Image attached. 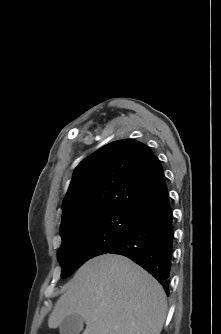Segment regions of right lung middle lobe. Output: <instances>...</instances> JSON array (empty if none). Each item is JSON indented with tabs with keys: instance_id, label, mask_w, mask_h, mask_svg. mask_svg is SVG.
<instances>
[{
	"instance_id": "dd1d6c3e",
	"label": "right lung middle lobe",
	"mask_w": 221,
	"mask_h": 334,
	"mask_svg": "<svg viewBox=\"0 0 221 334\" xmlns=\"http://www.w3.org/2000/svg\"><path fill=\"white\" fill-rule=\"evenodd\" d=\"M135 219V214L108 212L83 220L64 235L57 258L62 266L61 277L70 276L87 260L106 253L121 240Z\"/></svg>"
}]
</instances>
